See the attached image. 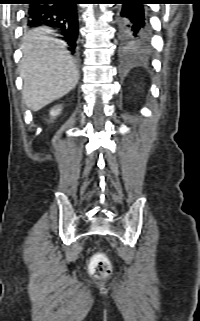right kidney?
<instances>
[{
    "label": "right kidney",
    "instance_id": "1",
    "mask_svg": "<svg viewBox=\"0 0 200 321\" xmlns=\"http://www.w3.org/2000/svg\"><path fill=\"white\" fill-rule=\"evenodd\" d=\"M61 112V108L60 107H55L50 111V115L52 118H55L57 115H59Z\"/></svg>",
    "mask_w": 200,
    "mask_h": 321
}]
</instances>
